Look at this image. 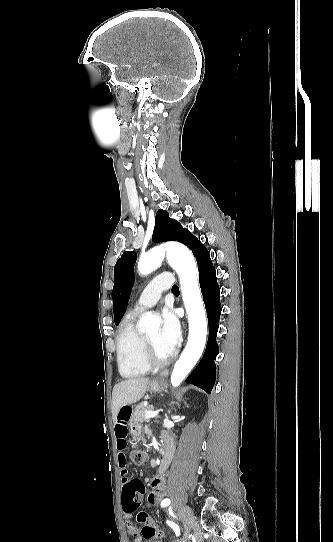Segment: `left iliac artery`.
Segmentation results:
<instances>
[{
    "label": "left iliac artery",
    "instance_id": "44dca946",
    "mask_svg": "<svg viewBox=\"0 0 333 542\" xmlns=\"http://www.w3.org/2000/svg\"><path fill=\"white\" fill-rule=\"evenodd\" d=\"M169 504H170V500L169 499H164L161 502V507H165V506H167ZM167 523L169 524L170 527H172L174 529L176 535L179 536V534H180L179 527L175 523H173L171 521H167Z\"/></svg>",
    "mask_w": 333,
    "mask_h": 542
}]
</instances>
